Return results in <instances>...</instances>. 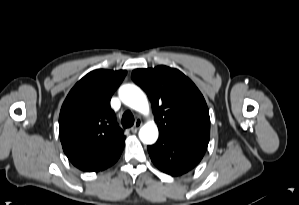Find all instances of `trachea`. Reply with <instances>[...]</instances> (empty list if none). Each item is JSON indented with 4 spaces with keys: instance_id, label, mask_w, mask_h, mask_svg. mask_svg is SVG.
I'll use <instances>...</instances> for the list:
<instances>
[{
    "instance_id": "3493384b",
    "label": "trachea",
    "mask_w": 299,
    "mask_h": 205,
    "mask_svg": "<svg viewBox=\"0 0 299 205\" xmlns=\"http://www.w3.org/2000/svg\"><path fill=\"white\" fill-rule=\"evenodd\" d=\"M121 123L124 128H129L134 124V116L130 111L124 112Z\"/></svg>"
}]
</instances>
